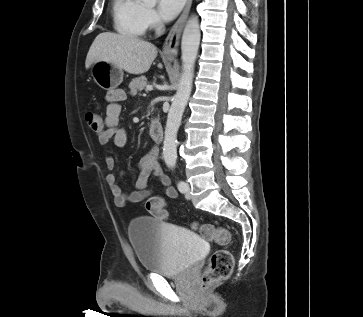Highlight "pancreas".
<instances>
[{
    "mask_svg": "<svg viewBox=\"0 0 363 317\" xmlns=\"http://www.w3.org/2000/svg\"><path fill=\"white\" fill-rule=\"evenodd\" d=\"M147 86V79L145 76L134 78L130 84V95L135 96L139 91H142Z\"/></svg>",
    "mask_w": 363,
    "mask_h": 317,
    "instance_id": "cf45deb5",
    "label": "pancreas"
}]
</instances>
